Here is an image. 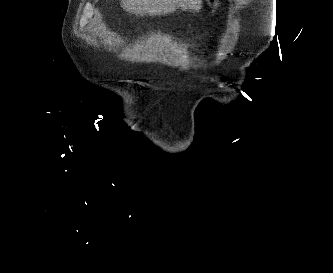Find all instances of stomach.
I'll list each match as a JSON object with an SVG mask.
<instances>
[{"mask_svg":"<svg viewBox=\"0 0 333 273\" xmlns=\"http://www.w3.org/2000/svg\"><path fill=\"white\" fill-rule=\"evenodd\" d=\"M210 4H222L223 0H209ZM210 51H218L219 45L218 44H210L209 45Z\"/></svg>","mask_w":333,"mask_h":273,"instance_id":"obj_1","label":"stomach"}]
</instances>
